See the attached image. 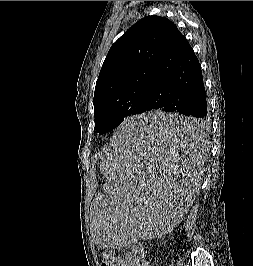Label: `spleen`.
<instances>
[{
    "label": "spleen",
    "instance_id": "1",
    "mask_svg": "<svg viewBox=\"0 0 253 266\" xmlns=\"http://www.w3.org/2000/svg\"><path fill=\"white\" fill-rule=\"evenodd\" d=\"M104 160L108 207H92L91 235L101 248H142L145 235L177 229L202 175L204 123L180 111L126 117Z\"/></svg>",
    "mask_w": 253,
    "mask_h": 266
}]
</instances>
